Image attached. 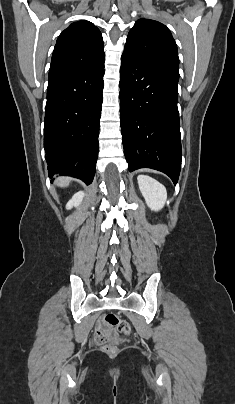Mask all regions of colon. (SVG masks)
<instances>
[{
    "label": "colon",
    "mask_w": 235,
    "mask_h": 404,
    "mask_svg": "<svg viewBox=\"0 0 235 404\" xmlns=\"http://www.w3.org/2000/svg\"><path fill=\"white\" fill-rule=\"evenodd\" d=\"M131 330V326L128 322L121 320L114 313H107L103 318V326L96 329L95 338L97 341L103 343L116 332L128 335L131 333ZM111 349L112 348L109 346L106 348L107 351H110Z\"/></svg>",
    "instance_id": "obj_1"
}]
</instances>
